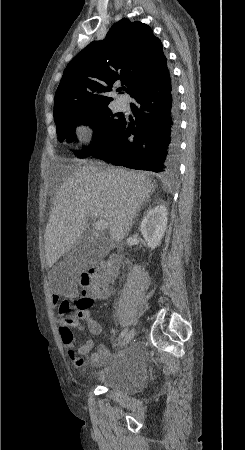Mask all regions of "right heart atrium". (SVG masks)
I'll return each mask as SVG.
<instances>
[{
  "label": "right heart atrium",
  "instance_id": "obj_1",
  "mask_svg": "<svg viewBox=\"0 0 245 450\" xmlns=\"http://www.w3.org/2000/svg\"><path fill=\"white\" fill-rule=\"evenodd\" d=\"M77 133L79 135V137L84 140L86 139L87 135H88V130L85 126H79L77 128Z\"/></svg>",
  "mask_w": 245,
  "mask_h": 450
}]
</instances>
